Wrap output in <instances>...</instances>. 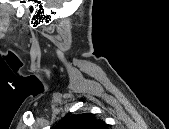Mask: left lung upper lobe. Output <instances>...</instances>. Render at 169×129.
I'll list each match as a JSON object with an SVG mask.
<instances>
[{
	"label": "left lung upper lobe",
	"mask_w": 169,
	"mask_h": 129,
	"mask_svg": "<svg viewBox=\"0 0 169 129\" xmlns=\"http://www.w3.org/2000/svg\"><path fill=\"white\" fill-rule=\"evenodd\" d=\"M56 129H107L106 124L96 119L92 114L85 113L79 115H73L60 121L56 126Z\"/></svg>",
	"instance_id": "1"
}]
</instances>
